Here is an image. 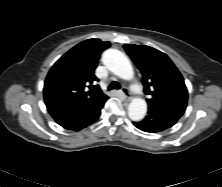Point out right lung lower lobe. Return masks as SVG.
<instances>
[{
	"label": "right lung lower lobe",
	"mask_w": 222,
	"mask_h": 187,
	"mask_svg": "<svg viewBox=\"0 0 222 187\" xmlns=\"http://www.w3.org/2000/svg\"><path fill=\"white\" fill-rule=\"evenodd\" d=\"M105 101L88 107H76L56 101H45L48 112L63 128L79 131L98 119Z\"/></svg>",
	"instance_id": "obj_1"
}]
</instances>
